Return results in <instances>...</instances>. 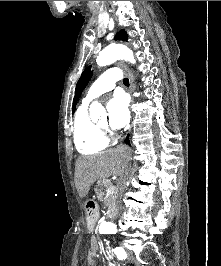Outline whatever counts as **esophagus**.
Returning <instances> with one entry per match:
<instances>
[{"label": "esophagus", "instance_id": "esophagus-1", "mask_svg": "<svg viewBox=\"0 0 221 266\" xmlns=\"http://www.w3.org/2000/svg\"><path fill=\"white\" fill-rule=\"evenodd\" d=\"M120 67L123 69L124 73L126 74V76L129 79V82H130L129 92L132 95V102H133V100H134L133 92H134V89H135L134 77H133L131 71L128 69V67L124 63H120Z\"/></svg>", "mask_w": 221, "mask_h": 266}]
</instances>
